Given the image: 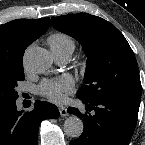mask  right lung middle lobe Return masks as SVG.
Masks as SVG:
<instances>
[{"instance_id": "obj_1", "label": "right lung middle lobe", "mask_w": 145, "mask_h": 145, "mask_svg": "<svg viewBox=\"0 0 145 145\" xmlns=\"http://www.w3.org/2000/svg\"><path fill=\"white\" fill-rule=\"evenodd\" d=\"M23 67L0 78V102L16 101L18 93L15 91L18 81L24 80Z\"/></svg>"}]
</instances>
